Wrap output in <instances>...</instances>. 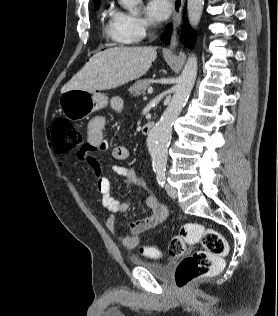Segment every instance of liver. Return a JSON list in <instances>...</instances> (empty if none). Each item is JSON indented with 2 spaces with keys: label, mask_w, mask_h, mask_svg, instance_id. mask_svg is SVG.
I'll use <instances>...</instances> for the list:
<instances>
[{
  "label": "liver",
  "mask_w": 278,
  "mask_h": 316,
  "mask_svg": "<svg viewBox=\"0 0 278 316\" xmlns=\"http://www.w3.org/2000/svg\"><path fill=\"white\" fill-rule=\"evenodd\" d=\"M157 57L155 47H115L94 54L61 89L96 92L124 85L143 76Z\"/></svg>",
  "instance_id": "6515ba94"
}]
</instances>
